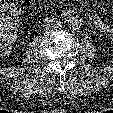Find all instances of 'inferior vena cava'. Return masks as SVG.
Segmentation results:
<instances>
[{
    "label": "inferior vena cava",
    "mask_w": 113,
    "mask_h": 113,
    "mask_svg": "<svg viewBox=\"0 0 113 113\" xmlns=\"http://www.w3.org/2000/svg\"><path fill=\"white\" fill-rule=\"evenodd\" d=\"M61 25V21L54 16H50L44 19L43 26L46 29H56L59 28Z\"/></svg>",
    "instance_id": "inferior-vena-cava-1"
}]
</instances>
